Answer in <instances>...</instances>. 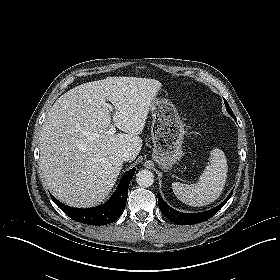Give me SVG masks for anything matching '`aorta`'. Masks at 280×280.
Returning <instances> with one entry per match:
<instances>
[{"mask_svg":"<svg viewBox=\"0 0 280 280\" xmlns=\"http://www.w3.org/2000/svg\"><path fill=\"white\" fill-rule=\"evenodd\" d=\"M136 182L139 186L149 187L154 182V175L149 170H141L136 174Z\"/></svg>","mask_w":280,"mask_h":280,"instance_id":"obj_1","label":"aorta"}]
</instances>
